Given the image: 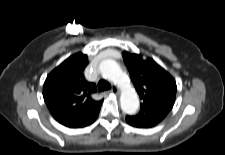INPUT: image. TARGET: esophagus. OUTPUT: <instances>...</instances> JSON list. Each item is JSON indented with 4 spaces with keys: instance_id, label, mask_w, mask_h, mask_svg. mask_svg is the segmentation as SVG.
Masks as SVG:
<instances>
[{
    "instance_id": "esophagus-1",
    "label": "esophagus",
    "mask_w": 225,
    "mask_h": 155,
    "mask_svg": "<svg viewBox=\"0 0 225 155\" xmlns=\"http://www.w3.org/2000/svg\"><path fill=\"white\" fill-rule=\"evenodd\" d=\"M112 94H118L119 93V89L117 87H112L111 90L109 91Z\"/></svg>"
}]
</instances>
